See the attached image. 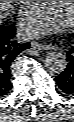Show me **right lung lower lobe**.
I'll list each match as a JSON object with an SVG mask.
<instances>
[{"instance_id":"right-lung-lower-lobe-1","label":"right lung lower lobe","mask_w":74,"mask_h":122,"mask_svg":"<svg viewBox=\"0 0 74 122\" xmlns=\"http://www.w3.org/2000/svg\"><path fill=\"white\" fill-rule=\"evenodd\" d=\"M16 29L0 25V97L11 90L10 67L15 58L30 48V43L20 44L15 40Z\"/></svg>"}]
</instances>
